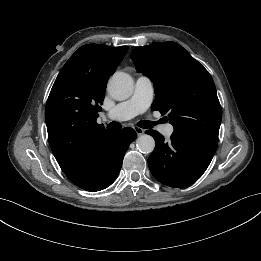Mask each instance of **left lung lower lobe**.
Listing matches in <instances>:
<instances>
[{
	"instance_id": "left-lung-lower-lobe-1",
	"label": "left lung lower lobe",
	"mask_w": 261,
	"mask_h": 261,
	"mask_svg": "<svg viewBox=\"0 0 261 261\" xmlns=\"http://www.w3.org/2000/svg\"><path fill=\"white\" fill-rule=\"evenodd\" d=\"M155 139V149L148 158L152 175L170 187H182L198 180L209 166L218 141L171 135L166 142L163 136L148 130Z\"/></svg>"
}]
</instances>
